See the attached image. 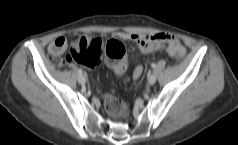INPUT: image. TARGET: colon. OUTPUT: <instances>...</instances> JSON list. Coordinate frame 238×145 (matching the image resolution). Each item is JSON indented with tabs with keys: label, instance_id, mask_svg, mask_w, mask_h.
Listing matches in <instances>:
<instances>
[{
	"label": "colon",
	"instance_id": "colon-1",
	"mask_svg": "<svg viewBox=\"0 0 238 145\" xmlns=\"http://www.w3.org/2000/svg\"><path fill=\"white\" fill-rule=\"evenodd\" d=\"M168 54L176 61L184 57L183 48L167 45ZM103 56H106L114 70L122 75L128 64V58L124 45L117 40L103 42L97 37H75L71 42L69 60H74L79 64L90 68H96L101 64ZM105 109L113 118H125L128 115L127 105L120 99L106 95Z\"/></svg>",
	"mask_w": 238,
	"mask_h": 145
}]
</instances>
